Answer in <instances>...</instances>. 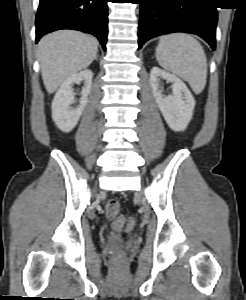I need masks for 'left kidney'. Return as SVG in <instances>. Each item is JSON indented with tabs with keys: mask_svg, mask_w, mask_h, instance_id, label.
Segmentation results:
<instances>
[{
	"mask_svg": "<svg viewBox=\"0 0 246 300\" xmlns=\"http://www.w3.org/2000/svg\"><path fill=\"white\" fill-rule=\"evenodd\" d=\"M162 80L172 83V95H163ZM150 86L168 126L173 131H184L191 121L196 104L185 83L179 77L153 67L150 72Z\"/></svg>",
	"mask_w": 246,
	"mask_h": 300,
	"instance_id": "5707ae66",
	"label": "left kidney"
}]
</instances>
